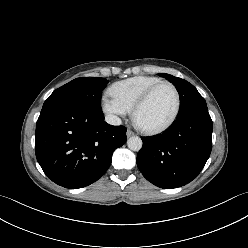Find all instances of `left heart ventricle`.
<instances>
[{
	"label": "left heart ventricle",
	"mask_w": 248,
	"mask_h": 248,
	"mask_svg": "<svg viewBox=\"0 0 248 248\" xmlns=\"http://www.w3.org/2000/svg\"><path fill=\"white\" fill-rule=\"evenodd\" d=\"M176 104L175 94L171 87L164 85L158 88L138 113V121L147 127L164 124L173 114Z\"/></svg>",
	"instance_id": "b2bd125f"
}]
</instances>
